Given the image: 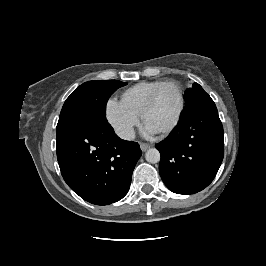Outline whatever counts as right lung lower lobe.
Here are the masks:
<instances>
[{
	"mask_svg": "<svg viewBox=\"0 0 266 266\" xmlns=\"http://www.w3.org/2000/svg\"><path fill=\"white\" fill-rule=\"evenodd\" d=\"M61 174L84 200L108 205L122 199L142 152L139 144L120 139L106 120H93L56 142Z\"/></svg>",
	"mask_w": 266,
	"mask_h": 266,
	"instance_id": "right-lung-lower-lobe-1",
	"label": "right lung lower lobe"
}]
</instances>
